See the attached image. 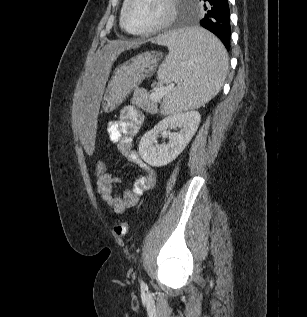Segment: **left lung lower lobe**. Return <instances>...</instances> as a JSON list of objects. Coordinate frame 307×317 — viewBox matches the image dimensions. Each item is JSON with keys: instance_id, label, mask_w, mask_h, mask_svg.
I'll return each mask as SVG.
<instances>
[{"instance_id": "0a47b994", "label": "left lung lower lobe", "mask_w": 307, "mask_h": 317, "mask_svg": "<svg viewBox=\"0 0 307 317\" xmlns=\"http://www.w3.org/2000/svg\"><path fill=\"white\" fill-rule=\"evenodd\" d=\"M206 11L200 25L215 34L230 49V10L228 0H203Z\"/></svg>"}]
</instances>
